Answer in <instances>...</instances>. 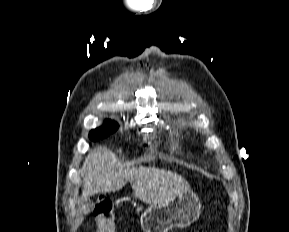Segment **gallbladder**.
Wrapping results in <instances>:
<instances>
[{
	"mask_svg": "<svg viewBox=\"0 0 289 232\" xmlns=\"http://www.w3.org/2000/svg\"><path fill=\"white\" fill-rule=\"evenodd\" d=\"M83 204L87 210H91L93 208V202L89 198L83 199Z\"/></svg>",
	"mask_w": 289,
	"mask_h": 232,
	"instance_id": "obj_1",
	"label": "gallbladder"
}]
</instances>
